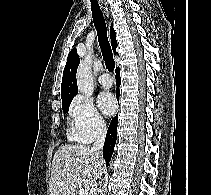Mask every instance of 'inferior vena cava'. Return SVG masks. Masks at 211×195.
Returning a JSON list of instances; mask_svg holds the SVG:
<instances>
[{"mask_svg":"<svg viewBox=\"0 0 211 195\" xmlns=\"http://www.w3.org/2000/svg\"><path fill=\"white\" fill-rule=\"evenodd\" d=\"M106 132L107 129L105 122H99L96 130V140L93 144V147L91 148L93 151H99L103 148ZM97 186L98 184L95 180L94 184L91 187L89 195H97Z\"/></svg>","mask_w":211,"mask_h":195,"instance_id":"602c4592","label":"inferior vena cava"}]
</instances>
